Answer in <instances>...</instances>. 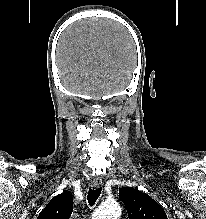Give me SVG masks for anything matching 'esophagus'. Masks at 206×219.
<instances>
[{
    "label": "esophagus",
    "instance_id": "1",
    "mask_svg": "<svg viewBox=\"0 0 206 219\" xmlns=\"http://www.w3.org/2000/svg\"><path fill=\"white\" fill-rule=\"evenodd\" d=\"M101 185H102V179L100 176H96L91 182V186L93 188L101 187Z\"/></svg>",
    "mask_w": 206,
    "mask_h": 219
}]
</instances>
